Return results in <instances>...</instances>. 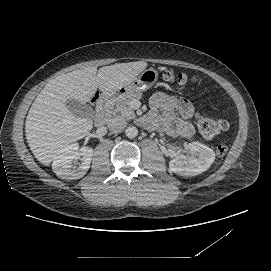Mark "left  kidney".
I'll list each match as a JSON object with an SVG mask.
<instances>
[{"label":"left kidney","mask_w":271,"mask_h":271,"mask_svg":"<svg viewBox=\"0 0 271 271\" xmlns=\"http://www.w3.org/2000/svg\"><path fill=\"white\" fill-rule=\"evenodd\" d=\"M189 156L177 155L169 162L172 172L181 176H195L206 171L215 160L214 151L199 142L189 143L186 147Z\"/></svg>","instance_id":"5707ae66"}]
</instances>
